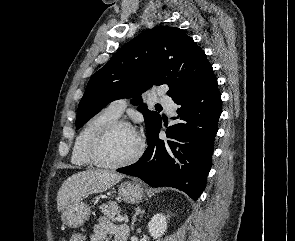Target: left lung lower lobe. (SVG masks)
<instances>
[{"label": "left lung lower lobe", "mask_w": 295, "mask_h": 241, "mask_svg": "<svg viewBox=\"0 0 295 241\" xmlns=\"http://www.w3.org/2000/svg\"><path fill=\"white\" fill-rule=\"evenodd\" d=\"M174 102L180 105L175 117L179 121L168 127L166 135L169 140L158 137L161 122L148 140L142 158L117 171L138 177L152 187L177 188L197 200L206 187L217 123L222 112L215 75Z\"/></svg>", "instance_id": "obj_1"}]
</instances>
